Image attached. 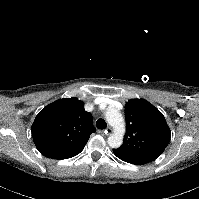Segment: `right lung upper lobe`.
<instances>
[{"label":"right lung upper lobe","mask_w":199,"mask_h":199,"mask_svg":"<svg viewBox=\"0 0 199 199\" xmlns=\"http://www.w3.org/2000/svg\"><path fill=\"white\" fill-rule=\"evenodd\" d=\"M31 132L41 154L52 159H68L79 154L95 132L92 116L75 97L57 100L39 112Z\"/></svg>","instance_id":"1"}]
</instances>
